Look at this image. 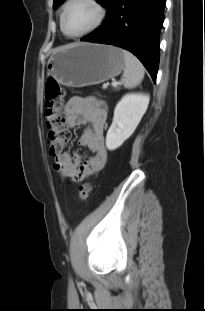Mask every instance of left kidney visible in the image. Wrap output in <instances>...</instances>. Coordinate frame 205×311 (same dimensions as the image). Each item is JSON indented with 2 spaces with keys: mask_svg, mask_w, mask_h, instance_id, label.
<instances>
[{
  "mask_svg": "<svg viewBox=\"0 0 205 311\" xmlns=\"http://www.w3.org/2000/svg\"><path fill=\"white\" fill-rule=\"evenodd\" d=\"M150 97L145 94H126L114 110L112 125L106 136L108 150L119 148L135 131L145 114Z\"/></svg>",
  "mask_w": 205,
  "mask_h": 311,
  "instance_id": "5707ae66",
  "label": "left kidney"
}]
</instances>
